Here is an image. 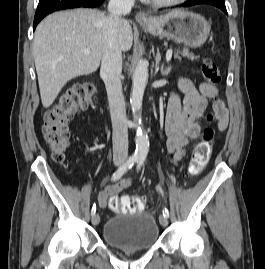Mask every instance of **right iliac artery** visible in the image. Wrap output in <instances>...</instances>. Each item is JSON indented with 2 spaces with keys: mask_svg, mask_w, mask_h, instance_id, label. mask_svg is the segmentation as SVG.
Listing matches in <instances>:
<instances>
[{
  "mask_svg": "<svg viewBox=\"0 0 265 269\" xmlns=\"http://www.w3.org/2000/svg\"><path fill=\"white\" fill-rule=\"evenodd\" d=\"M137 161H138L137 156L129 157V159L113 173L111 180L116 181L120 179L125 174V172L128 169H130ZM95 212H96V204H94L91 209V215L93 216Z\"/></svg>",
  "mask_w": 265,
  "mask_h": 269,
  "instance_id": "1",
  "label": "right iliac artery"
}]
</instances>
